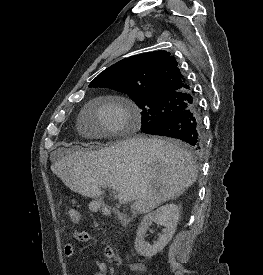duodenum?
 Returning a JSON list of instances; mask_svg holds the SVG:
<instances>
[{
	"mask_svg": "<svg viewBox=\"0 0 263 275\" xmlns=\"http://www.w3.org/2000/svg\"><path fill=\"white\" fill-rule=\"evenodd\" d=\"M105 212L108 214L109 213V211L107 210V209H105Z\"/></svg>",
	"mask_w": 263,
	"mask_h": 275,
	"instance_id": "obj_1",
	"label": "duodenum"
}]
</instances>
